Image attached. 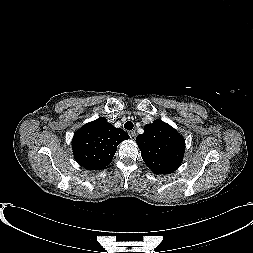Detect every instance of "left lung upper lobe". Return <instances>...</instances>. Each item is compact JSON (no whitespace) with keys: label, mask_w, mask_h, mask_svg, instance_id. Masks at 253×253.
<instances>
[{"label":"left lung upper lobe","mask_w":253,"mask_h":253,"mask_svg":"<svg viewBox=\"0 0 253 253\" xmlns=\"http://www.w3.org/2000/svg\"><path fill=\"white\" fill-rule=\"evenodd\" d=\"M136 143L144 162L155 174H170L182 162L185 140L161 120L145 125L144 133L137 136Z\"/></svg>","instance_id":"obj_1"}]
</instances>
